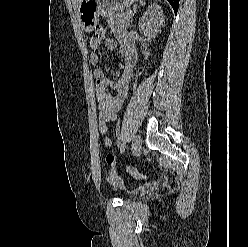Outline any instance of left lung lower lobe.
<instances>
[{
	"label": "left lung lower lobe",
	"instance_id": "obj_1",
	"mask_svg": "<svg viewBox=\"0 0 248 247\" xmlns=\"http://www.w3.org/2000/svg\"><path fill=\"white\" fill-rule=\"evenodd\" d=\"M168 1H169V3L171 4V6L173 7L174 12H175V14H176L177 11H178L179 0H168Z\"/></svg>",
	"mask_w": 248,
	"mask_h": 247
}]
</instances>
